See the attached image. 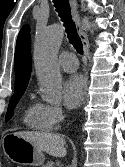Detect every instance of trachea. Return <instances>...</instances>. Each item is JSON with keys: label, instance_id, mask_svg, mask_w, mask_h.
Returning <instances> with one entry per match:
<instances>
[{"label": "trachea", "instance_id": "trachea-1", "mask_svg": "<svg viewBox=\"0 0 125 167\" xmlns=\"http://www.w3.org/2000/svg\"><path fill=\"white\" fill-rule=\"evenodd\" d=\"M56 11L64 23L69 42L73 45L79 54H83L82 41L78 35L75 23L72 20L70 5L68 0H53Z\"/></svg>", "mask_w": 125, "mask_h": 167}]
</instances>
